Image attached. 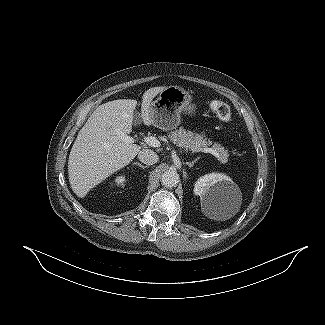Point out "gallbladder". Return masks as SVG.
Instances as JSON below:
<instances>
[{
  "label": "gallbladder",
  "mask_w": 325,
  "mask_h": 325,
  "mask_svg": "<svg viewBox=\"0 0 325 325\" xmlns=\"http://www.w3.org/2000/svg\"><path fill=\"white\" fill-rule=\"evenodd\" d=\"M133 117H134V124L135 125H138L139 123H140V121H141V117H140V115L138 114V113H133Z\"/></svg>",
  "instance_id": "gallbladder-1"
}]
</instances>
